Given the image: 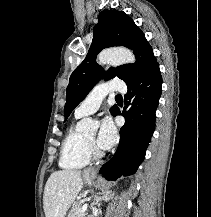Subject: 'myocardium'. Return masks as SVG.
Masks as SVG:
<instances>
[{"label":"myocardium","mask_w":211,"mask_h":217,"mask_svg":"<svg viewBox=\"0 0 211 217\" xmlns=\"http://www.w3.org/2000/svg\"><path fill=\"white\" fill-rule=\"evenodd\" d=\"M88 151L91 157L99 158L102 156V152L94 145V142L86 138Z\"/></svg>","instance_id":"1"}]
</instances>
